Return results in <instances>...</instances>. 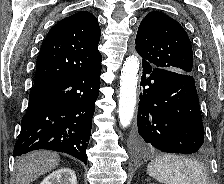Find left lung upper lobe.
<instances>
[{"label": "left lung upper lobe", "instance_id": "left-lung-upper-lobe-1", "mask_svg": "<svg viewBox=\"0 0 224 184\" xmlns=\"http://www.w3.org/2000/svg\"><path fill=\"white\" fill-rule=\"evenodd\" d=\"M136 51L142 64L153 68L193 75V54L184 28L164 13L153 11L140 23Z\"/></svg>", "mask_w": 224, "mask_h": 184}]
</instances>
